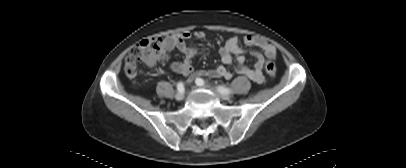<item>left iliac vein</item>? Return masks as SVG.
Segmentation results:
<instances>
[{
    "instance_id": "obj_1",
    "label": "left iliac vein",
    "mask_w": 406,
    "mask_h": 168,
    "mask_svg": "<svg viewBox=\"0 0 406 168\" xmlns=\"http://www.w3.org/2000/svg\"><path fill=\"white\" fill-rule=\"evenodd\" d=\"M207 89H210V90H212L211 88H209V87H206ZM216 94H218L223 100H230L231 99V97L228 95V94H222V93H219V92H217V91H214Z\"/></svg>"
}]
</instances>
